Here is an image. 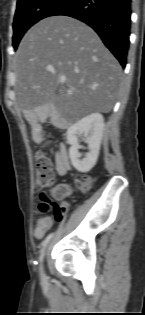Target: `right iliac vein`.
I'll return each instance as SVG.
<instances>
[{
    "label": "right iliac vein",
    "instance_id": "right-iliac-vein-1",
    "mask_svg": "<svg viewBox=\"0 0 145 315\" xmlns=\"http://www.w3.org/2000/svg\"><path fill=\"white\" fill-rule=\"evenodd\" d=\"M44 255H45V252H43L41 255V262L43 261Z\"/></svg>",
    "mask_w": 145,
    "mask_h": 315
}]
</instances>
